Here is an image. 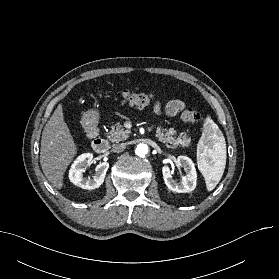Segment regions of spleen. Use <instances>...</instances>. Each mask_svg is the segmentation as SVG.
Instances as JSON below:
<instances>
[{"label": "spleen", "mask_w": 279, "mask_h": 279, "mask_svg": "<svg viewBox=\"0 0 279 279\" xmlns=\"http://www.w3.org/2000/svg\"><path fill=\"white\" fill-rule=\"evenodd\" d=\"M197 164L205 178L206 188L212 191L220 182L226 166V142L217 124L206 118L197 149Z\"/></svg>", "instance_id": "obj_1"}]
</instances>
